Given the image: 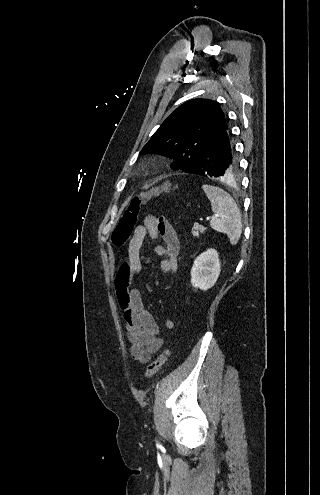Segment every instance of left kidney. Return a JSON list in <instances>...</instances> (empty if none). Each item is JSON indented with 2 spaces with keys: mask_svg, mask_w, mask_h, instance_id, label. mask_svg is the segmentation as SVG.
I'll list each match as a JSON object with an SVG mask.
<instances>
[{
  "mask_svg": "<svg viewBox=\"0 0 320 495\" xmlns=\"http://www.w3.org/2000/svg\"><path fill=\"white\" fill-rule=\"evenodd\" d=\"M221 271L219 254L215 249L201 253L191 268V284L194 288L208 290L216 283Z\"/></svg>",
  "mask_w": 320,
  "mask_h": 495,
  "instance_id": "obj_1",
  "label": "left kidney"
}]
</instances>
